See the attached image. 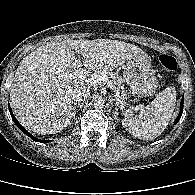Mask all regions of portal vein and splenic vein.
<instances>
[{
	"mask_svg": "<svg viewBox=\"0 0 195 195\" xmlns=\"http://www.w3.org/2000/svg\"><path fill=\"white\" fill-rule=\"evenodd\" d=\"M62 77L66 78H74L78 79L80 81L86 82L90 86H96L100 84H107L114 92H115V97L117 100V104L121 109H124V104L123 101L120 99V93L118 88H116L112 82L107 78L106 75H98V74H88V72L83 69V70H74V71H66ZM137 109V108H136ZM139 109V107H138Z\"/></svg>",
	"mask_w": 195,
	"mask_h": 195,
	"instance_id": "portal-vein-and-splenic-vein-1",
	"label": "portal vein and splenic vein"
}]
</instances>
